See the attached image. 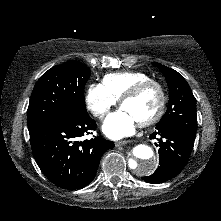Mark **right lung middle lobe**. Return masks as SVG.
Segmentation results:
<instances>
[{"label": "right lung middle lobe", "instance_id": "dd1d6c3e", "mask_svg": "<svg viewBox=\"0 0 221 221\" xmlns=\"http://www.w3.org/2000/svg\"><path fill=\"white\" fill-rule=\"evenodd\" d=\"M91 70L68 61L45 72L37 81L27 111L29 132L59 123L76 112H86L84 86Z\"/></svg>", "mask_w": 221, "mask_h": 221}]
</instances>
